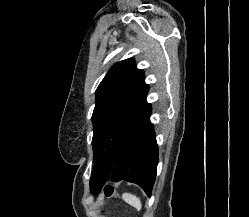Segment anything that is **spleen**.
<instances>
[{
    "instance_id": "1",
    "label": "spleen",
    "mask_w": 249,
    "mask_h": 217,
    "mask_svg": "<svg viewBox=\"0 0 249 217\" xmlns=\"http://www.w3.org/2000/svg\"><path fill=\"white\" fill-rule=\"evenodd\" d=\"M122 197L125 200V202H127L128 204H130L131 206H133L137 210L141 209V207H142L141 201L135 195L130 194V193H124L122 195Z\"/></svg>"
}]
</instances>
